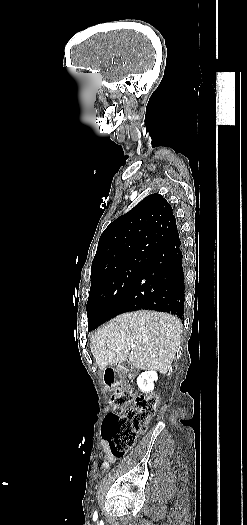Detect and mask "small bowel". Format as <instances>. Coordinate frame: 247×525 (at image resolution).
I'll return each instance as SVG.
<instances>
[{
    "instance_id": "obj_1",
    "label": "small bowel",
    "mask_w": 247,
    "mask_h": 525,
    "mask_svg": "<svg viewBox=\"0 0 247 525\" xmlns=\"http://www.w3.org/2000/svg\"><path fill=\"white\" fill-rule=\"evenodd\" d=\"M102 448L106 456V462L104 463V468H109L110 465L116 461V458L109 452L106 442H102Z\"/></svg>"
}]
</instances>
